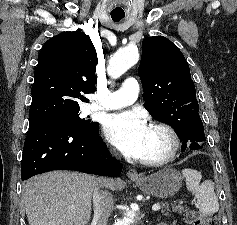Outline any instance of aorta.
<instances>
[{
  "mask_svg": "<svg viewBox=\"0 0 237 225\" xmlns=\"http://www.w3.org/2000/svg\"><path fill=\"white\" fill-rule=\"evenodd\" d=\"M139 60V52L135 47H127L119 50L111 58L108 73L112 78H118ZM136 212L126 210L123 218L117 219L114 225H131L135 222Z\"/></svg>",
  "mask_w": 237,
  "mask_h": 225,
  "instance_id": "762f6f07",
  "label": "aorta"
}]
</instances>
